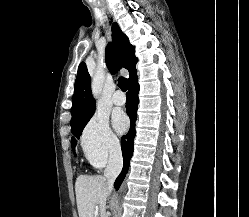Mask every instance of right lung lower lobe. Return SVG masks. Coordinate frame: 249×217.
Wrapping results in <instances>:
<instances>
[{
    "instance_id": "right-lung-lower-lobe-1",
    "label": "right lung lower lobe",
    "mask_w": 249,
    "mask_h": 217,
    "mask_svg": "<svg viewBox=\"0 0 249 217\" xmlns=\"http://www.w3.org/2000/svg\"><path fill=\"white\" fill-rule=\"evenodd\" d=\"M139 85L137 74H135L130 80L128 85V92L126 94V111L130 117L131 126L128 134L121 139L122 155H123V169L120 175L115 180L114 186L118 190L129 168V162L133 154V140L135 137V121L137 118V107L139 103L138 99Z\"/></svg>"
}]
</instances>
